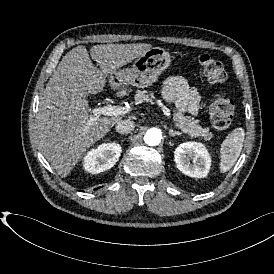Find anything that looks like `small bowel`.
<instances>
[{
    "label": "small bowel",
    "mask_w": 274,
    "mask_h": 274,
    "mask_svg": "<svg viewBox=\"0 0 274 274\" xmlns=\"http://www.w3.org/2000/svg\"><path fill=\"white\" fill-rule=\"evenodd\" d=\"M163 95L165 99L173 102L182 112L194 115L199 111V91L194 87H190L179 76L170 77L164 82Z\"/></svg>",
    "instance_id": "small-bowel-1"
}]
</instances>
